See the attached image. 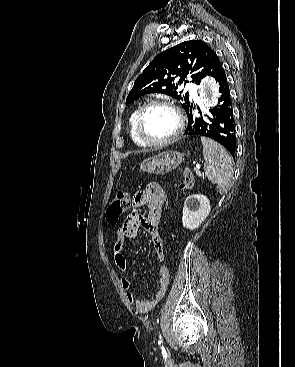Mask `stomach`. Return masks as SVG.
Returning a JSON list of instances; mask_svg holds the SVG:
<instances>
[{
    "label": "stomach",
    "mask_w": 295,
    "mask_h": 367,
    "mask_svg": "<svg viewBox=\"0 0 295 367\" xmlns=\"http://www.w3.org/2000/svg\"><path fill=\"white\" fill-rule=\"evenodd\" d=\"M184 161V154L177 151H164L144 160L140 168L152 174H166L171 172Z\"/></svg>",
    "instance_id": "0dacf381"
}]
</instances>
